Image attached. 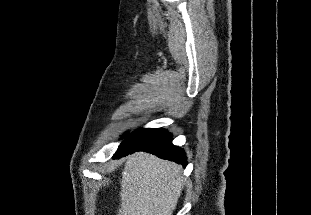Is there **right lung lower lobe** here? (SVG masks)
Here are the masks:
<instances>
[{
	"instance_id": "right-lung-lower-lobe-1",
	"label": "right lung lower lobe",
	"mask_w": 311,
	"mask_h": 215,
	"mask_svg": "<svg viewBox=\"0 0 311 215\" xmlns=\"http://www.w3.org/2000/svg\"><path fill=\"white\" fill-rule=\"evenodd\" d=\"M145 151L162 159L187 165L183 149L172 144V136L162 128L138 129L131 133L119 146L113 158L124 157L128 154Z\"/></svg>"
}]
</instances>
